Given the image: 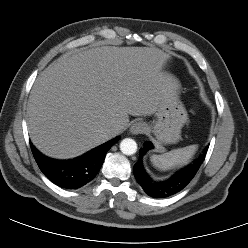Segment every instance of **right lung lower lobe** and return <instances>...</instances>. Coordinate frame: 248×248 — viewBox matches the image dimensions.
Here are the masks:
<instances>
[{"instance_id": "1", "label": "right lung lower lobe", "mask_w": 248, "mask_h": 248, "mask_svg": "<svg viewBox=\"0 0 248 248\" xmlns=\"http://www.w3.org/2000/svg\"><path fill=\"white\" fill-rule=\"evenodd\" d=\"M120 136L72 160H55L40 153L30 142L33 156L43 174L54 184L77 189L93 180L99 172L107 151Z\"/></svg>"}]
</instances>
